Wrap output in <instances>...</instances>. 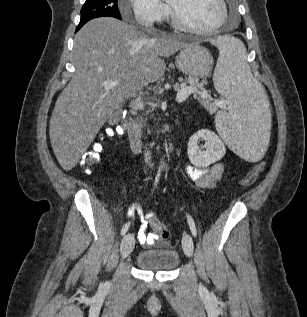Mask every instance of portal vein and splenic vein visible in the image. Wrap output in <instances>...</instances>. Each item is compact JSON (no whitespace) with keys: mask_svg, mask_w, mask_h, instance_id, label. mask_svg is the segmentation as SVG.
<instances>
[{"mask_svg":"<svg viewBox=\"0 0 307 317\" xmlns=\"http://www.w3.org/2000/svg\"><path fill=\"white\" fill-rule=\"evenodd\" d=\"M101 86L106 90H110L114 87L120 86V82L119 81H105V82L101 83ZM192 93H199V94H201V97H203V98H210V95H208L207 92H202L196 87H190V86H186L184 84V85H181V89L177 93L176 101L178 103H181V102L185 101L188 98V96ZM140 94H142V92H140ZM216 103L218 105L224 104L223 101H218V100L216 101Z\"/></svg>","mask_w":307,"mask_h":317,"instance_id":"obj_1","label":"portal vein and splenic vein"}]
</instances>
